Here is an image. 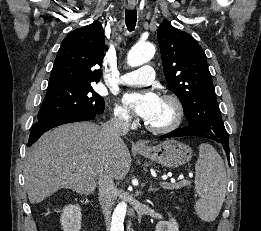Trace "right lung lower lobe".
I'll return each mask as SVG.
<instances>
[{"label":"right lung lower lobe","mask_w":261,"mask_h":231,"mask_svg":"<svg viewBox=\"0 0 261 231\" xmlns=\"http://www.w3.org/2000/svg\"><path fill=\"white\" fill-rule=\"evenodd\" d=\"M102 113L75 112V113H69V114L56 116V117L46 119L43 121H38L32 126L31 134L29 136V141H28L27 146H31L33 143H35L38 140V138L43 133L50 130L51 128H54V127L62 125V124L71 123V122L92 120L97 115L102 114Z\"/></svg>","instance_id":"1"}]
</instances>
